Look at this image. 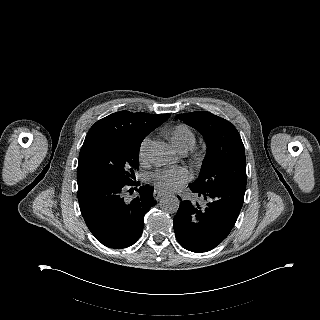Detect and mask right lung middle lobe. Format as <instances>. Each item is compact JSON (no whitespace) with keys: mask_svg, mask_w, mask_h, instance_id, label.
<instances>
[{"mask_svg":"<svg viewBox=\"0 0 320 320\" xmlns=\"http://www.w3.org/2000/svg\"><path fill=\"white\" fill-rule=\"evenodd\" d=\"M140 141L132 143L106 141L79 154L78 173H97L116 181H132L139 168Z\"/></svg>","mask_w":320,"mask_h":320,"instance_id":"1","label":"right lung middle lobe"}]
</instances>
